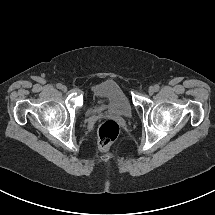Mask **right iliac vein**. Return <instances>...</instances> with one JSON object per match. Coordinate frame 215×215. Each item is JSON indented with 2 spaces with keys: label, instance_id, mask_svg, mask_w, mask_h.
Listing matches in <instances>:
<instances>
[{
  "label": "right iliac vein",
  "instance_id": "1",
  "mask_svg": "<svg viewBox=\"0 0 215 215\" xmlns=\"http://www.w3.org/2000/svg\"><path fill=\"white\" fill-rule=\"evenodd\" d=\"M61 89H62V91H64V92H65V91H67V87H66L65 85H64V86H62V88H61Z\"/></svg>",
  "mask_w": 215,
  "mask_h": 215
}]
</instances>
